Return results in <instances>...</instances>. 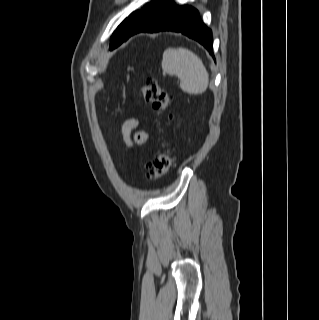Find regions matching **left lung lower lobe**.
<instances>
[{
	"mask_svg": "<svg viewBox=\"0 0 319 320\" xmlns=\"http://www.w3.org/2000/svg\"><path fill=\"white\" fill-rule=\"evenodd\" d=\"M174 31L202 44L213 56L212 32L201 21L199 12L190 6H177L161 0L147 10L133 25L124 41L140 32Z\"/></svg>",
	"mask_w": 319,
	"mask_h": 320,
	"instance_id": "obj_1",
	"label": "left lung lower lobe"
}]
</instances>
